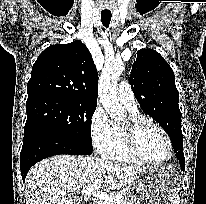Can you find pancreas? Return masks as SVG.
<instances>
[{"instance_id":"pancreas-1","label":"pancreas","mask_w":206,"mask_h":204,"mask_svg":"<svg viewBox=\"0 0 206 204\" xmlns=\"http://www.w3.org/2000/svg\"><path fill=\"white\" fill-rule=\"evenodd\" d=\"M117 196L121 198L120 204H131L128 200V195L125 190L118 191L113 195V197H117Z\"/></svg>"}]
</instances>
